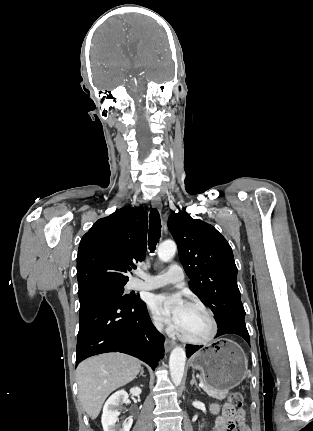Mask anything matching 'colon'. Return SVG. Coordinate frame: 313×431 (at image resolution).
Segmentation results:
<instances>
[{"mask_svg": "<svg viewBox=\"0 0 313 431\" xmlns=\"http://www.w3.org/2000/svg\"><path fill=\"white\" fill-rule=\"evenodd\" d=\"M243 405V397L239 392H231L228 395L227 403L223 408V414L232 416L236 409L241 408ZM230 431H235V427L231 425Z\"/></svg>", "mask_w": 313, "mask_h": 431, "instance_id": "colon-1", "label": "colon"}]
</instances>
